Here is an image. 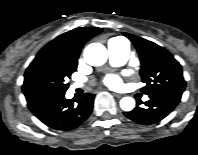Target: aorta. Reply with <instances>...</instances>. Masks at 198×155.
Segmentation results:
<instances>
[{"instance_id":"762f6f07","label":"aorta","mask_w":198,"mask_h":155,"mask_svg":"<svg viewBox=\"0 0 198 155\" xmlns=\"http://www.w3.org/2000/svg\"><path fill=\"white\" fill-rule=\"evenodd\" d=\"M107 57V49L100 43H91L84 50V58L91 66L103 65ZM120 107L123 111H132L135 107V100L132 97H123L120 100Z\"/></svg>"}]
</instances>
